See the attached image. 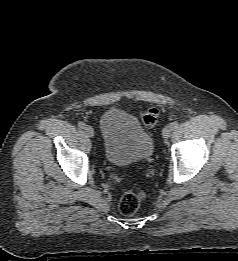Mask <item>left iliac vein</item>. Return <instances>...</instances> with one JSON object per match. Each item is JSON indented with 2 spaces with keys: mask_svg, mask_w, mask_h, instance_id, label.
Listing matches in <instances>:
<instances>
[{
  "mask_svg": "<svg viewBox=\"0 0 238 261\" xmlns=\"http://www.w3.org/2000/svg\"><path fill=\"white\" fill-rule=\"evenodd\" d=\"M172 131H173V128H172L171 124L166 125L162 131L163 137L165 139L169 138L171 136Z\"/></svg>",
  "mask_w": 238,
  "mask_h": 261,
  "instance_id": "1",
  "label": "left iliac vein"
}]
</instances>
